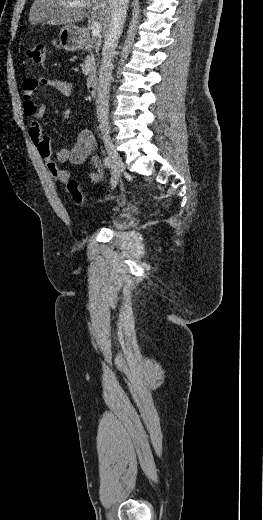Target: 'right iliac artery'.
Segmentation results:
<instances>
[{"mask_svg": "<svg viewBox=\"0 0 263 520\" xmlns=\"http://www.w3.org/2000/svg\"><path fill=\"white\" fill-rule=\"evenodd\" d=\"M104 164H105V166H106L108 169H110V168L112 167L111 159H110L109 157H106V158L104 159Z\"/></svg>", "mask_w": 263, "mask_h": 520, "instance_id": "1", "label": "right iliac artery"}]
</instances>
